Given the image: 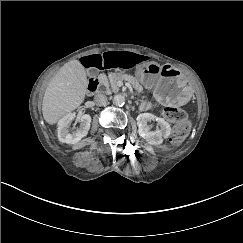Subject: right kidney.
Segmentation results:
<instances>
[{
	"label": "right kidney",
	"mask_w": 243,
	"mask_h": 243,
	"mask_svg": "<svg viewBox=\"0 0 243 243\" xmlns=\"http://www.w3.org/2000/svg\"><path fill=\"white\" fill-rule=\"evenodd\" d=\"M76 121L80 123L78 128L73 126V130H69L71 122ZM92 118L89 114H84L81 116H76L75 114H70L63 117L59 122L58 127V139L62 143L75 144L82 138L87 136L91 127Z\"/></svg>",
	"instance_id": "right-kidney-1"
}]
</instances>
